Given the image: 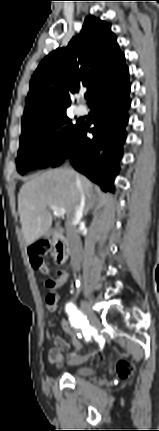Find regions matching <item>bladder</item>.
Listing matches in <instances>:
<instances>
[{
	"label": "bladder",
	"mask_w": 159,
	"mask_h": 431,
	"mask_svg": "<svg viewBox=\"0 0 159 431\" xmlns=\"http://www.w3.org/2000/svg\"><path fill=\"white\" fill-rule=\"evenodd\" d=\"M93 374H94V370L88 366H80L73 371V375L75 377H87Z\"/></svg>",
	"instance_id": "bladder-1"
}]
</instances>
